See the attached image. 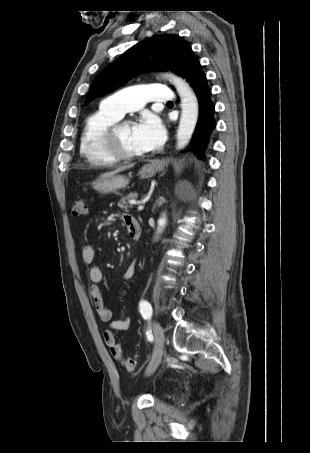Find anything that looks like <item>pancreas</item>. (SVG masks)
<instances>
[{"instance_id": "obj_1", "label": "pancreas", "mask_w": 310, "mask_h": 453, "mask_svg": "<svg viewBox=\"0 0 310 453\" xmlns=\"http://www.w3.org/2000/svg\"><path fill=\"white\" fill-rule=\"evenodd\" d=\"M138 198L137 193H130L125 197H122L121 200L118 202V207H120L122 210L127 211L128 208H131L132 205L129 204L130 200H135Z\"/></svg>"}]
</instances>
